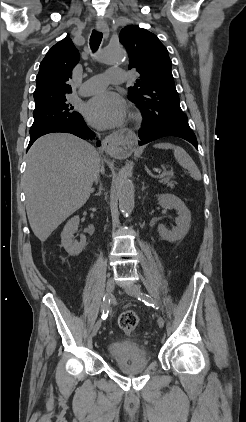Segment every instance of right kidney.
<instances>
[{
	"label": "right kidney",
	"mask_w": 246,
	"mask_h": 422,
	"mask_svg": "<svg viewBox=\"0 0 246 422\" xmlns=\"http://www.w3.org/2000/svg\"><path fill=\"white\" fill-rule=\"evenodd\" d=\"M79 216H74L65 225L61 233V243L71 256L79 255L86 246V237L81 235L80 242L74 241V233L78 231Z\"/></svg>",
	"instance_id": "ca27d5eb"
}]
</instances>
